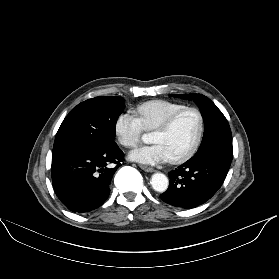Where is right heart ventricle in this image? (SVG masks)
<instances>
[{"label":"right heart ventricle","instance_id":"1","mask_svg":"<svg viewBox=\"0 0 279 279\" xmlns=\"http://www.w3.org/2000/svg\"><path fill=\"white\" fill-rule=\"evenodd\" d=\"M185 107L167 100H151L138 105L135 113L144 130H154L170 114Z\"/></svg>","mask_w":279,"mask_h":279}]
</instances>
